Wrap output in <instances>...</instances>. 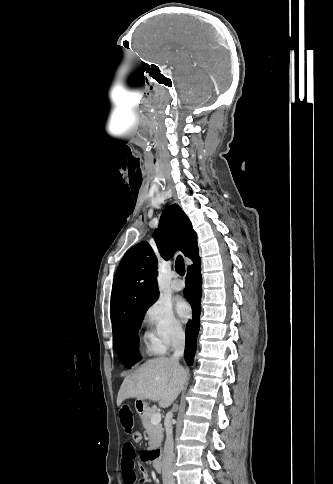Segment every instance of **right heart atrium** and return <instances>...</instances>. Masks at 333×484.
I'll use <instances>...</instances> for the list:
<instances>
[{
    "instance_id": "1",
    "label": "right heart atrium",
    "mask_w": 333,
    "mask_h": 484,
    "mask_svg": "<svg viewBox=\"0 0 333 484\" xmlns=\"http://www.w3.org/2000/svg\"><path fill=\"white\" fill-rule=\"evenodd\" d=\"M148 344L156 352H164L184 335L183 325L167 302L155 300L145 312Z\"/></svg>"
}]
</instances>
